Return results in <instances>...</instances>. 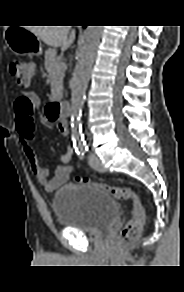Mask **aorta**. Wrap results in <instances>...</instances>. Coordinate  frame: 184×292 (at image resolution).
I'll list each match as a JSON object with an SVG mask.
<instances>
[{
    "label": "aorta",
    "mask_w": 184,
    "mask_h": 292,
    "mask_svg": "<svg viewBox=\"0 0 184 292\" xmlns=\"http://www.w3.org/2000/svg\"><path fill=\"white\" fill-rule=\"evenodd\" d=\"M101 34L102 26H88L84 32L77 53V64L71 86L70 116L78 143H80V116L84 104V97Z\"/></svg>",
    "instance_id": "1"
}]
</instances>
